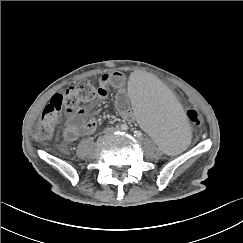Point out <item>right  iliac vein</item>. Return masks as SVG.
Wrapping results in <instances>:
<instances>
[{
    "mask_svg": "<svg viewBox=\"0 0 243 243\" xmlns=\"http://www.w3.org/2000/svg\"><path fill=\"white\" fill-rule=\"evenodd\" d=\"M113 131H114L113 128H106V129L104 130V133H105V134H108V133H112Z\"/></svg>",
    "mask_w": 243,
    "mask_h": 243,
    "instance_id": "right-iliac-vein-1",
    "label": "right iliac vein"
}]
</instances>
